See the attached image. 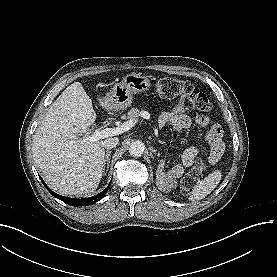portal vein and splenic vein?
I'll use <instances>...</instances> for the list:
<instances>
[{"label": "portal vein and splenic vein", "instance_id": "18ae733b", "mask_svg": "<svg viewBox=\"0 0 277 277\" xmlns=\"http://www.w3.org/2000/svg\"><path fill=\"white\" fill-rule=\"evenodd\" d=\"M141 117L144 119H150V114L147 111H142L140 113ZM137 119L134 118L132 120H128L126 122H124L122 125L115 127V128H106V129H95L94 133L90 136H88L86 138V140L89 141H96V140H100V139H104L107 138L109 136H113V135H117V134H121L125 131L130 130L132 127L135 126V124L137 123Z\"/></svg>", "mask_w": 277, "mask_h": 277}]
</instances>
